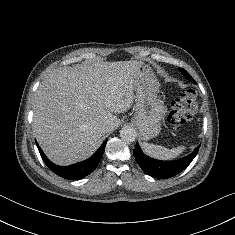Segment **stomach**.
<instances>
[{
  "label": "stomach",
  "instance_id": "1",
  "mask_svg": "<svg viewBox=\"0 0 235 235\" xmlns=\"http://www.w3.org/2000/svg\"><path fill=\"white\" fill-rule=\"evenodd\" d=\"M159 86L150 68L142 63L135 76L136 105L132 122L145 141L160 133V121L166 113L164 103L157 98Z\"/></svg>",
  "mask_w": 235,
  "mask_h": 235
}]
</instances>
